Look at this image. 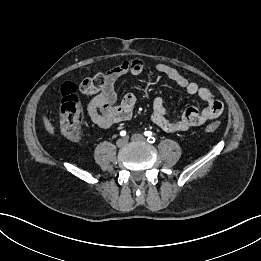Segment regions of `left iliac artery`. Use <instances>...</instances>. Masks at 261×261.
I'll list each match as a JSON object with an SVG mask.
<instances>
[{"mask_svg":"<svg viewBox=\"0 0 261 261\" xmlns=\"http://www.w3.org/2000/svg\"><path fill=\"white\" fill-rule=\"evenodd\" d=\"M144 135L147 136V141L149 143H154L155 142V138L152 136V132L151 131H145Z\"/></svg>","mask_w":261,"mask_h":261,"instance_id":"1","label":"left iliac artery"}]
</instances>
